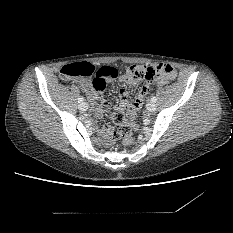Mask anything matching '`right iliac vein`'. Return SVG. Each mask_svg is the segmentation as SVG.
<instances>
[{"label":"right iliac vein","mask_w":233,"mask_h":233,"mask_svg":"<svg viewBox=\"0 0 233 233\" xmlns=\"http://www.w3.org/2000/svg\"><path fill=\"white\" fill-rule=\"evenodd\" d=\"M79 109L81 110V111H86L87 109H88V104L87 103H85V102H82L80 105H79Z\"/></svg>","instance_id":"right-iliac-vein-1"}]
</instances>
